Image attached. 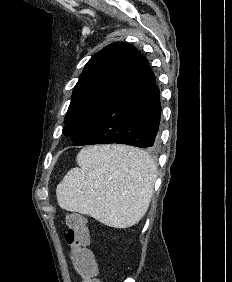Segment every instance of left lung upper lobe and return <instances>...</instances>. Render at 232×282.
<instances>
[{
    "label": "left lung upper lobe",
    "instance_id": "left-lung-upper-lobe-1",
    "mask_svg": "<svg viewBox=\"0 0 232 282\" xmlns=\"http://www.w3.org/2000/svg\"><path fill=\"white\" fill-rule=\"evenodd\" d=\"M141 57L134 46L115 42L88 61L74 87L64 121L63 133L73 145L90 138L103 105L129 78Z\"/></svg>",
    "mask_w": 232,
    "mask_h": 282
}]
</instances>
